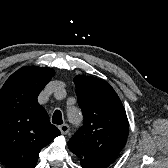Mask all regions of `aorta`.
Listing matches in <instances>:
<instances>
[{
  "label": "aorta",
  "instance_id": "1",
  "mask_svg": "<svg viewBox=\"0 0 168 168\" xmlns=\"http://www.w3.org/2000/svg\"><path fill=\"white\" fill-rule=\"evenodd\" d=\"M68 117L71 119L73 117H77V118H80V112L78 109H71L69 112H68Z\"/></svg>",
  "mask_w": 168,
  "mask_h": 168
}]
</instances>
